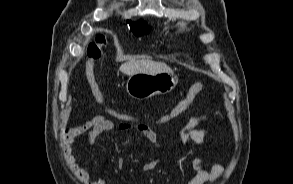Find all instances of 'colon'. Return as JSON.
I'll list each match as a JSON object with an SVG mask.
<instances>
[{"label":"colon","mask_w":293,"mask_h":184,"mask_svg":"<svg viewBox=\"0 0 293 184\" xmlns=\"http://www.w3.org/2000/svg\"><path fill=\"white\" fill-rule=\"evenodd\" d=\"M107 44V40L105 36L99 35L95 38L93 42H91L87 47V60L85 63V76L87 83L92 91V94L96 98V100L103 105L106 110L116 116L117 118L124 120H138L139 117L129 113H123L115 110L114 108L109 107L106 104L105 97L95 79L94 75V65L100 59L102 55V51ZM205 89L204 85L200 82L193 84L188 90L187 94L184 98L178 101L175 106L162 117L156 120V123H164L168 120L180 115L183 111H185L194 101V99Z\"/></svg>","instance_id":"obj_1"}]
</instances>
